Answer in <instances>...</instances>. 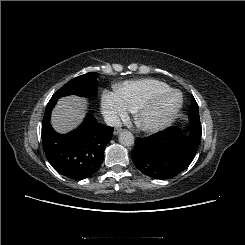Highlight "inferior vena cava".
<instances>
[{
    "label": "inferior vena cava",
    "mask_w": 245,
    "mask_h": 245,
    "mask_svg": "<svg viewBox=\"0 0 245 245\" xmlns=\"http://www.w3.org/2000/svg\"><path fill=\"white\" fill-rule=\"evenodd\" d=\"M104 121L108 126H111V127H121L122 126L120 118L116 115H111V114L106 115L104 117Z\"/></svg>",
    "instance_id": "inferior-vena-cava-1"
}]
</instances>
